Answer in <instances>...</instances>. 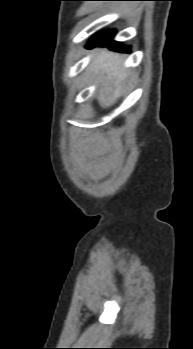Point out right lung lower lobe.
Masks as SVG:
<instances>
[{
  "label": "right lung lower lobe",
  "mask_w": 193,
  "mask_h": 349,
  "mask_svg": "<svg viewBox=\"0 0 193 349\" xmlns=\"http://www.w3.org/2000/svg\"><path fill=\"white\" fill-rule=\"evenodd\" d=\"M115 35V30L108 31L102 34L100 40H98L99 35L94 36L88 43L87 47L92 48L94 46H108L111 50L119 51V52H128L130 47H125L120 42H116L113 40Z\"/></svg>",
  "instance_id": "1"
}]
</instances>
